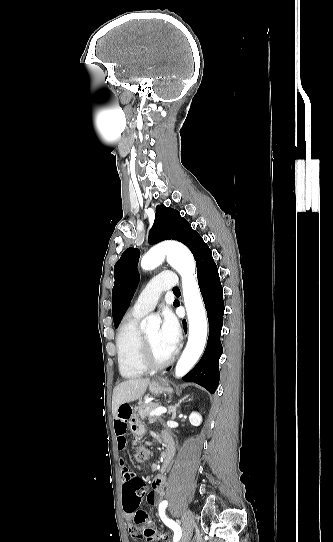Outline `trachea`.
<instances>
[{
	"label": "trachea",
	"mask_w": 333,
	"mask_h": 542,
	"mask_svg": "<svg viewBox=\"0 0 333 542\" xmlns=\"http://www.w3.org/2000/svg\"><path fill=\"white\" fill-rule=\"evenodd\" d=\"M176 289H178V287H174V288H173V290H176ZM178 290H179V289H178Z\"/></svg>",
	"instance_id": "3493384b"
}]
</instances>
